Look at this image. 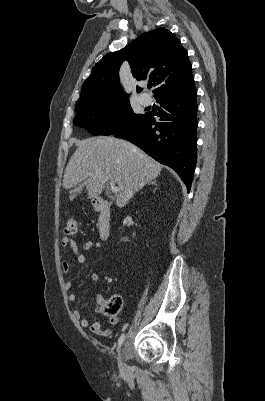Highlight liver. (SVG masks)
I'll return each instance as SVG.
<instances>
[{"label":"liver","instance_id":"6515ba94","mask_svg":"<svg viewBox=\"0 0 265 401\" xmlns=\"http://www.w3.org/2000/svg\"><path fill=\"white\" fill-rule=\"evenodd\" d=\"M73 152L64 174V188L70 190V201L83 190L79 182H85L88 198L101 194L105 184L117 182V207H125L133 192L154 180L161 172L162 164L153 160L143 150L114 136H92L76 140Z\"/></svg>","mask_w":265,"mask_h":401}]
</instances>
